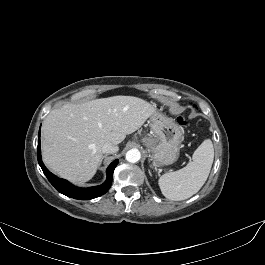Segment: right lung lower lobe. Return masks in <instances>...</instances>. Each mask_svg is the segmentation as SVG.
<instances>
[{
	"instance_id": "98d812e1",
	"label": "right lung lower lobe",
	"mask_w": 265,
	"mask_h": 265,
	"mask_svg": "<svg viewBox=\"0 0 265 265\" xmlns=\"http://www.w3.org/2000/svg\"><path fill=\"white\" fill-rule=\"evenodd\" d=\"M37 159L40 167L42 168L45 176L48 178L49 182L55 187L57 191L60 193L74 198V199H81V200H89L93 199L96 197H99L103 194H105L112 183V178H113V172L115 167L118 164V160H114L107 168V178L106 181L99 185V186H94V187H89V188H79L68 181L58 178L55 175H53L43 164L42 159H41V147H40V130H39V135H38V147H37Z\"/></svg>"
}]
</instances>
